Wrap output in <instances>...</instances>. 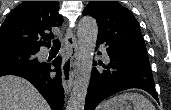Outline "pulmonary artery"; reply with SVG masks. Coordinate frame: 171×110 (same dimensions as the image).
<instances>
[{
	"instance_id": "1",
	"label": "pulmonary artery",
	"mask_w": 171,
	"mask_h": 110,
	"mask_svg": "<svg viewBox=\"0 0 171 110\" xmlns=\"http://www.w3.org/2000/svg\"><path fill=\"white\" fill-rule=\"evenodd\" d=\"M103 57H104L105 59H108V54L106 53L105 50H103Z\"/></svg>"
}]
</instances>
